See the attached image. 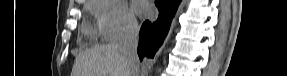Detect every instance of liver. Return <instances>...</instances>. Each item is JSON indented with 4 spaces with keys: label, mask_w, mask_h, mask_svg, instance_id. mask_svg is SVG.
Here are the masks:
<instances>
[{
    "label": "liver",
    "mask_w": 287,
    "mask_h": 76,
    "mask_svg": "<svg viewBox=\"0 0 287 76\" xmlns=\"http://www.w3.org/2000/svg\"><path fill=\"white\" fill-rule=\"evenodd\" d=\"M72 76H130V65L119 44L100 45L80 52Z\"/></svg>",
    "instance_id": "6515ba94"
}]
</instances>
